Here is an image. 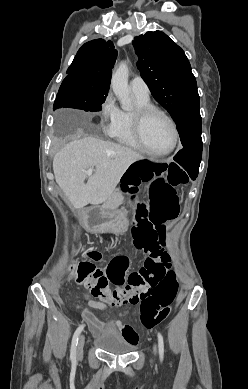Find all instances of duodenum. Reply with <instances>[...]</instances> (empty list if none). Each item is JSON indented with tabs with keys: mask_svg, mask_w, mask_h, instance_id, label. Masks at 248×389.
<instances>
[{
	"mask_svg": "<svg viewBox=\"0 0 248 389\" xmlns=\"http://www.w3.org/2000/svg\"><path fill=\"white\" fill-rule=\"evenodd\" d=\"M87 213H90V212H89V211H86V212H84V213L82 214V216H81V221H82L83 223H86V224L88 225L89 229L95 230V226H91V225L89 224V221H90V220H87V219L85 218V215H86Z\"/></svg>",
	"mask_w": 248,
	"mask_h": 389,
	"instance_id": "obj_1",
	"label": "duodenum"
}]
</instances>
